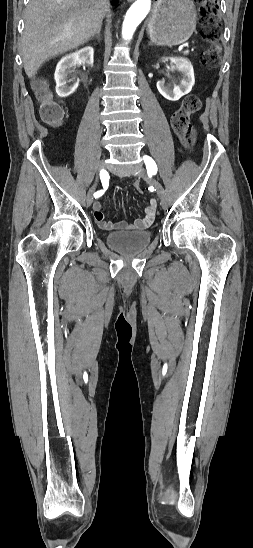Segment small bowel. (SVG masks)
Wrapping results in <instances>:
<instances>
[{
    "mask_svg": "<svg viewBox=\"0 0 253 548\" xmlns=\"http://www.w3.org/2000/svg\"><path fill=\"white\" fill-rule=\"evenodd\" d=\"M157 208V201L151 199L149 205L145 209V214L141 218H137L133 223H128L124 220H119L117 222L107 221L102 212V205L100 202H95L93 205L94 218L98 225L105 230H114V229H134V230H143L149 227L154 218Z\"/></svg>",
    "mask_w": 253,
    "mask_h": 548,
    "instance_id": "small-bowel-1",
    "label": "small bowel"
}]
</instances>
